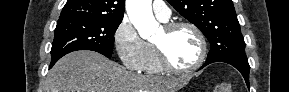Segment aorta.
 I'll use <instances>...</instances> for the list:
<instances>
[{
	"mask_svg": "<svg viewBox=\"0 0 289 92\" xmlns=\"http://www.w3.org/2000/svg\"><path fill=\"white\" fill-rule=\"evenodd\" d=\"M126 10L131 23L143 39H147L159 24L152 13V0H127Z\"/></svg>",
	"mask_w": 289,
	"mask_h": 92,
	"instance_id": "obj_1",
	"label": "aorta"
}]
</instances>
